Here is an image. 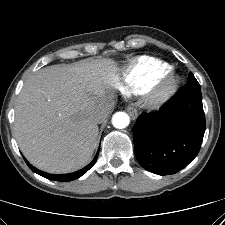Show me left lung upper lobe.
<instances>
[{"instance_id":"obj_1","label":"left lung upper lobe","mask_w":225,"mask_h":225,"mask_svg":"<svg viewBox=\"0 0 225 225\" xmlns=\"http://www.w3.org/2000/svg\"><path fill=\"white\" fill-rule=\"evenodd\" d=\"M188 84L194 85V86H200L198 81L195 79L194 75L191 72L188 74Z\"/></svg>"}]
</instances>
